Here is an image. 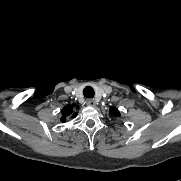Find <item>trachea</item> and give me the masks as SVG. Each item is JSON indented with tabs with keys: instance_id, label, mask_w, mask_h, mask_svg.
I'll use <instances>...</instances> for the list:
<instances>
[{
	"instance_id": "1",
	"label": "trachea",
	"mask_w": 181,
	"mask_h": 181,
	"mask_svg": "<svg viewBox=\"0 0 181 181\" xmlns=\"http://www.w3.org/2000/svg\"><path fill=\"white\" fill-rule=\"evenodd\" d=\"M83 94L86 98L94 97V89L91 86H86L83 90Z\"/></svg>"
}]
</instances>
